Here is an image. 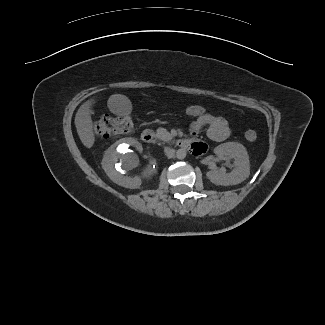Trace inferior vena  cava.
Returning <instances> with one entry per match:
<instances>
[{
	"mask_svg": "<svg viewBox=\"0 0 325 325\" xmlns=\"http://www.w3.org/2000/svg\"><path fill=\"white\" fill-rule=\"evenodd\" d=\"M164 152L168 158H173L175 155V150L169 147H165Z\"/></svg>",
	"mask_w": 325,
	"mask_h": 325,
	"instance_id": "inferior-vena-cava-1",
	"label": "inferior vena cava"
}]
</instances>
